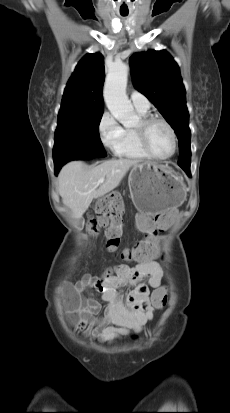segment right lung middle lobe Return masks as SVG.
<instances>
[{"mask_svg": "<svg viewBox=\"0 0 230 413\" xmlns=\"http://www.w3.org/2000/svg\"><path fill=\"white\" fill-rule=\"evenodd\" d=\"M102 115L91 118L58 119L53 148L54 165L71 160L105 157L99 137Z\"/></svg>", "mask_w": 230, "mask_h": 413, "instance_id": "right-lung-middle-lobe-1", "label": "right lung middle lobe"}]
</instances>
